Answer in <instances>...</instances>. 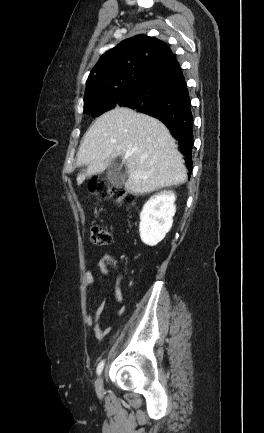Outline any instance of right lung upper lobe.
Returning a JSON list of instances; mask_svg holds the SVG:
<instances>
[{
    "label": "right lung upper lobe",
    "instance_id": "obj_1",
    "mask_svg": "<svg viewBox=\"0 0 264 433\" xmlns=\"http://www.w3.org/2000/svg\"><path fill=\"white\" fill-rule=\"evenodd\" d=\"M172 56L169 47L154 37L138 35L129 38L101 56L89 74L84 99L142 85Z\"/></svg>",
    "mask_w": 264,
    "mask_h": 433
}]
</instances>
